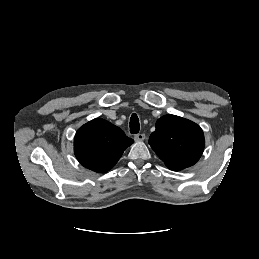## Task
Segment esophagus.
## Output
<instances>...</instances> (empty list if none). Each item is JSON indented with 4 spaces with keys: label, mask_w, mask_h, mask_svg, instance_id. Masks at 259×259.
Here are the masks:
<instances>
[{
    "label": "esophagus",
    "mask_w": 259,
    "mask_h": 259,
    "mask_svg": "<svg viewBox=\"0 0 259 259\" xmlns=\"http://www.w3.org/2000/svg\"><path fill=\"white\" fill-rule=\"evenodd\" d=\"M145 139V135L142 133H138L134 136L135 141H143Z\"/></svg>",
    "instance_id": "1"
}]
</instances>
